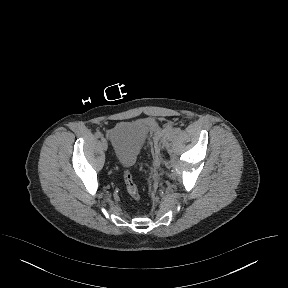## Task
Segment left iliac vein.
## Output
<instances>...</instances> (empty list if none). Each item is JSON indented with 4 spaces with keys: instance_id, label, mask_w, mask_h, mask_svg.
Returning a JSON list of instances; mask_svg holds the SVG:
<instances>
[{
    "instance_id": "4c4485c4",
    "label": "left iliac vein",
    "mask_w": 288,
    "mask_h": 288,
    "mask_svg": "<svg viewBox=\"0 0 288 288\" xmlns=\"http://www.w3.org/2000/svg\"><path fill=\"white\" fill-rule=\"evenodd\" d=\"M167 141H168V138H164V140H163V146H166Z\"/></svg>"
}]
</instances>
